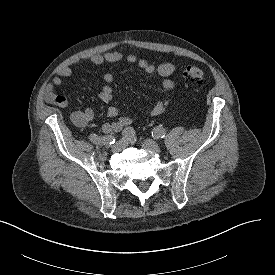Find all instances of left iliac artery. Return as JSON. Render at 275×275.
Masks as SVG:
<instances>
[{"mask_svg":"<svg viewBox=\"0 0 275 275\" xmlns=\"http://www.w3.org/2000/svg\"><path fill=\"white\" fill-rule=\"evenodd\" d=\"M166 135V130L163 127H155L152 131V137L154 139L164 138Z\"/></svg>","mask_w":275,"mask_h":275,"instance_id":"1","label":"left iliac artery"}]
</instances>
